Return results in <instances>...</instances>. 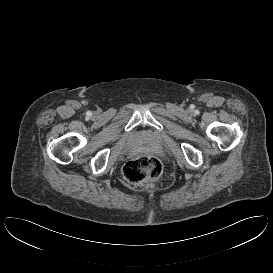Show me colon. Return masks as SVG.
I'll use <instances>...</instances> for the list:
<instances>
[{
	"label": "colon",
	"instance_id": "colon-1",
	"mask_svg": "<svg viewBox=\"0 0 273 273\" xmlns=\"http://www.w3.org/2000/svg\"><path fill=\"white\" fill-rule=\"evenodd\" d=\"M162 172L161 162L149 155H142L127 162L123 168L125 180L133 185H141L157 180Z\"/></svg>",
	"mask_w": 273,
	"mask_h": 273
}]
</instances>
